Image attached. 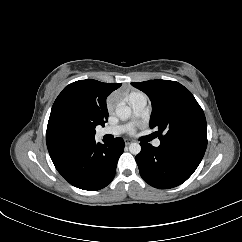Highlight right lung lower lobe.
Segmentation results:
<instances>
[{
	"label": "right lung lower lobe",
	"instance_id": "obj_1",
	"mask_svg": "<svg viewBox=\"0 0 242 242\" xmlns=\"http://www.w3.org/2000/svg\"><path fill=\"white\" fill-rule=\"evenodd\" d=\"M80 144L52 159L58 172L73 186L83 190H99L114 178L119 157L124 151V141Z\"/></svg>",
	"mask_w": 242,
	"mask_h": 242
}]
</instances>
